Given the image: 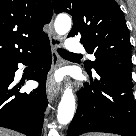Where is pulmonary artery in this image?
Wrapping results in <instances>:
<instances>
[{"label":"pulmonary artery","mask_w":136,"mask_h":136,"mask_svg":"<svg viewBox=\"0 0 136 136\" xmlns=\"http://www.w3.org/2000/svg\"><path fill=\"white\" fill-rule=\"evenodd\" d=\"M66 48L69 52H73V53H80L84 51V47L82 46V44L74 38L68 39L66 43ZM89 57L93 58L92 55H90Z\"/></svg>","instance_id":"e3ab8cb5"}]
</instances>
